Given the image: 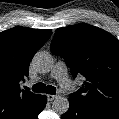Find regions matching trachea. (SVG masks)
I'll use <instances>...</instances> for the list:
<instances>
[{
    "label": "trachea",
    "mask_w": 119,
    "mask_h": 119,
    "mask_svg": "<svg viewBox=\"0 0 119 119\" xmlns=\"http://www.w3.org/2000/svg\"><path fill=\"white\" fill-rule=\"evenodd\" d=\"M32 90L34 92L37 93H47V94H51V95H55L56 94V88L54 86L51 85H45L44 83H37L32 87Z\"/></svg>",
    "instance_id": "1"
}]
</instances>
